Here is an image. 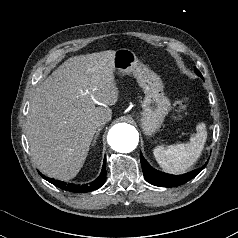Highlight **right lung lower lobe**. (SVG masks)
Here are the masks:
<instances>
[{
	"mask_svg": "<svg viewBox=\"0 0 238 238\" xmlns=\"http://www.w3.org/2000/svg\"><path fill=\"white\" fill-rule=\"evenodd\" d=\"M105 167H106V159H104L103 168H102V171H101L99 177L97 179H95L93 182H91L89 184H84V185H75V184H71V183L61 182V181H58L55 179L48 178L42 174H41V176L44 179H46L48 182L52 183L53 185H55L61 189L71 191V192H76V193H85V192H90L95 189H98L99 187H101L103 185V183L105 182V178H106Z\"/></svg>",
	"mask_w": 238,
	"mask_h": 238,
	"instance_id": "98d812e1",
	"label": "right lung lower lobe"
}]
</instances>
